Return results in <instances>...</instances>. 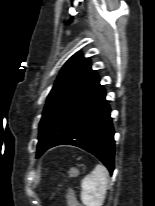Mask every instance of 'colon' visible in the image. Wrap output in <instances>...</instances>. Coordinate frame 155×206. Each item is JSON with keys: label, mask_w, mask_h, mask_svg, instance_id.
<instances>
[{"label": "colon", "mask_w": 155, "mask_h": 206, "mask_svg": "<svg viewBox=\"0 0 155 206\" xmlns=\"http://www.w3.org/2000/svg\"><path fill=\"white\" fill-rule=\"evenodd\" d=\"M68 203H69V206H81L75 199L72 191H70L68 194Z\"/></svg>", "instance_id": "5ec220e1"}]
</instances>
